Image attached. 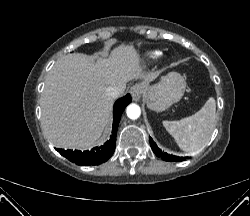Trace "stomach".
Instances as JSON below:
<instances>
[{
	"label": "stomach",
	"mask_w": 250,
	"mask_h": 216,
	"mask_svg": "<svg viewBox=\"0 0 250 216\" xmlns=\"http://www.w3.org/2000/svg\"><path fill=\"white\" fill-rule=\"evenodd\" d=\"M143 97L147 107L160 112L178 102L184 95L186 83L179 73L170 72L155 85H143Z\"/></svg>",
	"instance_id": "obj_1"
}]
</instances>
